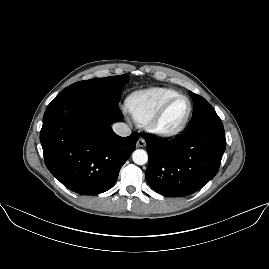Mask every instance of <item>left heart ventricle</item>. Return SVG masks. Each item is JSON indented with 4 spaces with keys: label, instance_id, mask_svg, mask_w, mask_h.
<instances>
[{
    "label": "left heart ventricle",
    "instance_id": "left-heart-ventricle-1",
    "mask_svg": "<svg viewBox=\"0 0 269 269\" xmlns=\"http://www.w3.org/2000/svg\"><path fill=\"white\" fill-rule=\"evenodd\" d=\"M188 109V102L186 99L181 98L176 100L168 109L163 117L160 128L165 131H171L178 127L183 121Z\"/></svg>",
    "mask_w": 269,
    "mask_h": 269
}]
</instances>
